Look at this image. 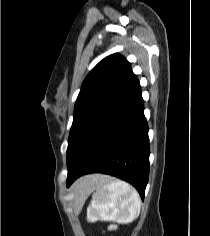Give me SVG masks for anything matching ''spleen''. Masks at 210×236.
I'll list each match as a JSON object with an SVG mask.
<instances>
[{
	"mask_svg": "<svg viewBox=\"0 0 210 236\" xmlns=\"http://www.w3.org/2000/svg\"><path fill=\"white\" fill-rule=\"evenodd\" d=\"M80 190L83 196L96 190L87 209V218L91 222L101 220L127 224L140 214L139 194L128 183L110 181L102 176L98 181L84 184Z\"/></svg>",
	"mask_w": 210,
	"mask_h": 236,
	"instance_id": "spleen-1",
	"label": "spleen"
}]
</instances>
